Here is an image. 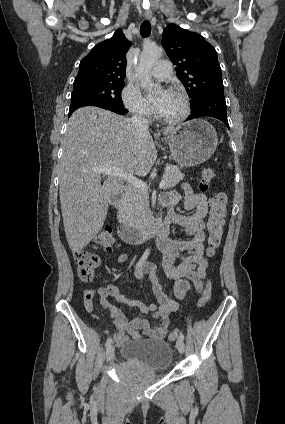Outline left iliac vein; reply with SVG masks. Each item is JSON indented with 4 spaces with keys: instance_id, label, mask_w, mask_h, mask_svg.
I'll return each mask as SVG.
<instances>
[{
    "instance_id": "obj_1",
    "label": "left iliac vein",
    "mask_w": 285,
    "mask_h": 424,
    "mask_svg": "<svg viewBox=\"0 0 285 424\" xmlns=\"http://www.w3.org/2000/svg\"><path fill=\"white\" fill-rule=\"evenodd\" d=\"M176 347H177V349H178V351L180 352V353H183L184 352V350H185V345H184V342H183V340L182 339H178L177 340V343H176Z\"/></svg>"
}]
</instances>
